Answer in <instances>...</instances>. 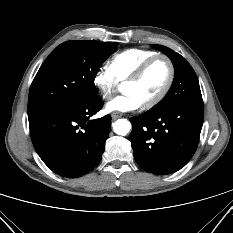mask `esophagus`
<instances>
[{"label": "esophagus", "mask_w": 233, "mask_h": 233, "mask_svg": "<svg viewBox=\"0 0 233 233\" xmlns=\"http://www.w3.org/2000/svg\"><path fill=\"white\" fill-rule=\"evenodd\" d=\"M121 116H122V114L120 112H113L111 114V117H112L113 120H115V119H117V118H119Z\"/></svg>", "instance_id": "obj_1"}]
</instances>
